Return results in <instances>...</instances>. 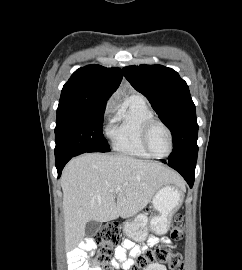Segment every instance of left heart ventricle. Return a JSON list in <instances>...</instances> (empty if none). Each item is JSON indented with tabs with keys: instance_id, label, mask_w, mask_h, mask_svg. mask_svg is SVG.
<instances>
[{
	"instance_id": "obj_1",
	"label": "left heart ventricle",
	"mask_w": 242,
	"mask_h": 270,
	"mask_svg": "<svg viewBox=\"0 0 242 270\" xmlns=\"http://www.w3.org/2000/svg\"><path fill=\"white\" fill-rule=\"evenodd\" d=\"M149 146L154 154L163 156L169 151V137L160 125H154L149 134Z\"/></svg>"
}]
</instances>
